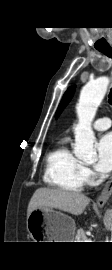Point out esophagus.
Segmentation results:
<instances>
[{
	"label": "esophagus",
	"instance_id": "34e87169",
	"mask_svg": "<svg viewBox=\"0 0 112 270\" xmlns=\"http://www.w3.org/2000/svg\"><path fill=\"white\" fill-rule=\"evenodd\" d=\"M111 195H112V176L106 183L101 195L97 199L96 204L100 207L104 206Z\"/></svg>",
	"mask_w": 112,
	"mask_h": 270
}]
</instances>
